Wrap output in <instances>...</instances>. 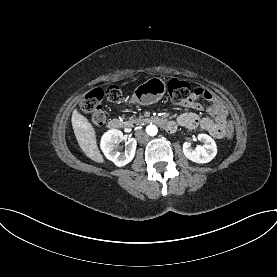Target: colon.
<instances>
[{"instance_id":"colon-1","label":"colon","mask_w":277,"mask_h":277,"mask_svg":"<svg viewBox=\"0 0 277 277\" xmlns=\"http://www.w3.org/2000/svg\"><path fill=\"white\" fill-rule=\"evenodd\" d=\"M168 93L173 102L183 104L191 100L195 95L189 83L179 79H171L168 82ZM106 96L110 101L116 102L121 98V91L117 86H110L106 91L95 88L88 92L81 103L82 111L90 118L94 125L100 126L105 122L106 115L102 100ZM236 123L230 119L227 123L225 139L232 141L235 136Z\"/></svg>"}]
</instances>
